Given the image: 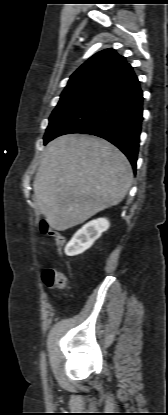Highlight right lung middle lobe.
<instances>
[{
    "label": "right lung middle lobe",
    "mask_w": 168,
    "mask_h": 415,
    "mask_svg": "<svg viewBox=\"0 0 168 415\" xmlns=\"http://www.w3.org/2000/svg\"><path fill=\"white\" fill-rule=\"evenodd\" d=\"M101 92L81 91L61 95L58 105L49 118L44 143H46L59 129L74 116L81 108L95 99Z\"/></svg>",
    "instance_id": "1"
}]
</instances>
